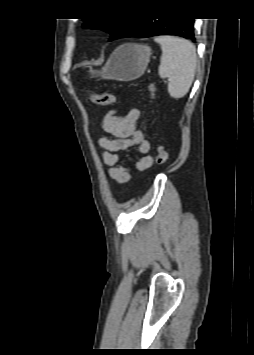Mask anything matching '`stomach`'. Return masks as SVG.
Here are the masks:
<instances>
[{"instance_id": "0dacf381", "label": "stomach", "mask_w": 254, "mask_h": 355, "mask_svg": "<svg viewBox=\"0 0 254 355\" xmlns=\"http://www.w3.org/2000/svg\"><path fill=\"white\" fill-rule=\"evenodd\" d=\"M151 48L148 45L127 43L114 50L105 66L100 70L90 69L105 79L131 81L142 76L150 61Z\"/></svg>"}]
</instances>
